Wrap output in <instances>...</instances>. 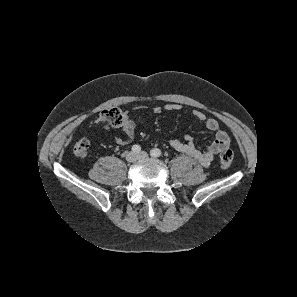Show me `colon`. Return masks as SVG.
<instances>
[{
  "instance_id": "1",
  "label": "colon",
  "mask_w": 297,
  "mask_h": 297,
  "mask_svg": "<svg viewBox=\"0 0 297 297\" xmlns=\"http://www.w3.org/2000/svg\"><path fill=\"white\" fill-rule=\"evenodd\" d=\"M100 120L107 122L114 127H119L125 120V115L119 108H110L100 114ZM90 141L87 137H80L74 144L73 151L77 157L83 158L87 155ZM233 162V152L229 149L223 150L219 155V165L228 169Z\"/></svg>"
}]
</instances>
